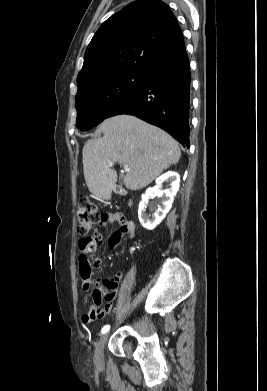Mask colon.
<instances>
[{
  "instance_id": "colon-1",
  "label": "colon",
  "mask_w": 267,
  "mask_h": 391,
  "mask_svg": "<svg viewBox=\"0 0 267 391\" xmlns=\"http://www.w3.org/2000/svg\"><path fill=\"white\" fill-rule=\"evenodd\" d=\"M102 216L99 213L97 205L87 199L80 200L77 207V231L79 234V249L81 254L90 253L97 245L100 244V239L97 234H89L98 224H101ZM119 220L124 221V217L120 215Z\"/></svg>"
}]
</instances>
